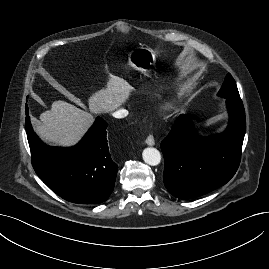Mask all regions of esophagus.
<instances>
[{
  "label": "esophagus",
  "mask_w": 269,
  "mask_h": 269,
  "mask_svg": "<svg viewBox=\"0 0 269 269\" xmlns=\"http://www.w3.org/2000/svg\"><path fill=\"white\" fill-rule=\"evenodd\" d=\"M146 144L149 145V146L155 145V140H154V137L152 135H149L146 138Z\"/></svg>",
  "instance_id": "esophagus-1"
}]
</instances>
